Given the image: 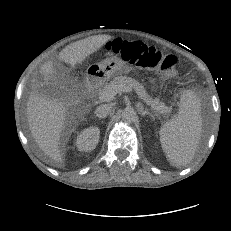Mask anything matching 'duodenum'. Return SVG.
I'll return each instance as SVG.
<instances>
[{
  "label": "duodenum",
  "instance_id": "410a0bca",
  "mask_svg": "<svg viewBox=\"0 0 231 231\" xmlns=\"http://www.w3.org/2000/svg\"><path fill=\"white\" fill-rule=\"evenodd\" d=\"M97 84H98V77L95 75L89 76L86 80L85 95L86 96L91 95Z\"/></svg>",
  "mask_w": 231,
  "mask_h": 231
}]
</instances>
